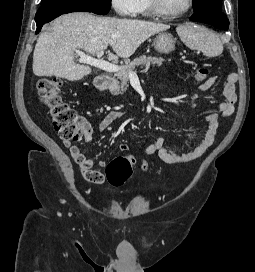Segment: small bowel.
Masks as SVG:
<instances>
[{"mask_svg":"<svg viewBox=\"0 0 255 272\" xmlns=\"http://www.w3.org/2000/svg\"><path fill=\"white\" fill-rule=\"evenodd\" d=\"M238 80L236 73H229L226 77V82L223 88L224 101L217 104L218 113H211L206 116L207 130L198 142L190 151L176 152L170 148L164 146L165 139L160 136L155 141L151 142L145 149V154L153 155L157 154L159 160L164 164H187L202 157L205 152L213 144L219 127L220 117L230 116L237 102V95L235 91V85ZM217 82L216 76H211L203 81L199 89L203 92L210 90ZM127 111L113 110L110 111L97 125L96 130L98 132L108 129L116 120L121 119L127 115ZM84 129V140L86 143H91L95 133V129L86 121H82ZM65 145L69 148V152L73 161L79 166L83 177L95 184H102L105 182L104 174L95 169L94 159L85 155L77 145L65 142ZM128 144L123 142L119 145L121 151H127ZM105 163L101 162L100 166H104Z\"/></svg>","mask_w":255,"mask_h":272,"instance_id":"obj_1","label":"small bowel"}]
</instances>
